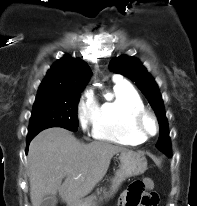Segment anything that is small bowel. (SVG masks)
Instances as JSON below:
<instances>
[{
    "label": "small bowel",
    "mask_w": 197,
    "mask_h": 206,
    "mask_svg": "<svg viewBox=\"0 0 197 206\" xmlns=\"http://www.w3.org/2000/svg\"><path fill=\"white\" fill-rule=\"evenodd\" d=\"M127 193L128 191L123 193V195L120 198L118 206H129L128 201H127ZM150 206H156V205H150Z\"/></svg>",
    "instance_id": "obj_1"
}]
</instances>
